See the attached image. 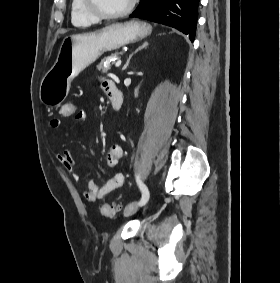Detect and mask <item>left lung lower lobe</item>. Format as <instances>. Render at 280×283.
Wrapping results in <instances>:
<instances>
[{"label": "left lung lower lobe", "instance_id": "1", "mask_svg": "<svg viewBox=\"0 0 280 283\" xmlns=\"http://www.w3.org/2000/svg\"><path fill=\"white\" fill-rule=\"evenodd\" d=\"M200 0H141L130 17L146 19L178 29L194 41Z\"/></svg>", "mask_w": 280, "mask_h": 283}]
</instances>
